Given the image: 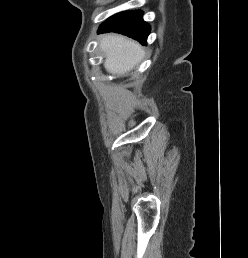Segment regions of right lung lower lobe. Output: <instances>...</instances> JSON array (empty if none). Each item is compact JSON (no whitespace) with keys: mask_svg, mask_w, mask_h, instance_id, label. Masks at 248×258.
I'll return each instance as SVG.
<instances>
[{"mask_svg":"<svg viewBox=\"0 0 248 258\" xmlns=\"http://www.w3.org/2000/svg\"><path fill=\"white\" fill-rule=\"evenodd\" d=\"M142 15L140 10L115 14L100 25L98 33L117 32L146 45L150 26L144 22Z\"/></svg>","mask_w":248,"mask_h":258,"instance_id":"98d812e1","label":"right lung lower lobe"}]
</instances>
